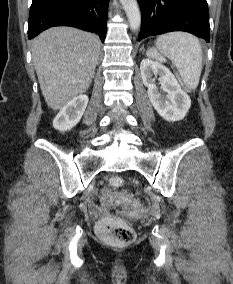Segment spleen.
Here are the masks:
<instances>
[{
	"label": "spleen",
	"instance_id": "spleen-1",
	"mask_svg": "<svg viewBox=\"0 0 233 284\" xmlns=\"http://www.w3.org/2000/svg\"><path fill=\"white\" fill-rule=\"evenodd\" d=\"M151 58L165 56L177 67L187 89L195 90L202 71V46L199 40L184 32H171L159 36L156 48L148 50Z\"/></svg>",
	"mask_w": 233,
	"mask_h": 284
}]
</instances>
